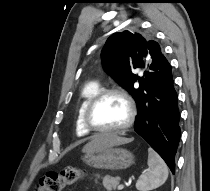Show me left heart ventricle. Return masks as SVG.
Instances as JSON below:
<instances>
[{"label": "left heart ventricle", "mask_w": 210, "mask_h": 191, "mask_svg": "<svg viewBox=\"0 0 210 191\" xmlns=\"http://www.w3.org/2000/svg\"><path fill=\"white\" fill-rule=\"evenodd\" d=\"M128 118L126 102L117 95H107L95 106L92 113L93 123L100 128H118Z\"/></svg>", "instance_id": "1"}]
</instances>
